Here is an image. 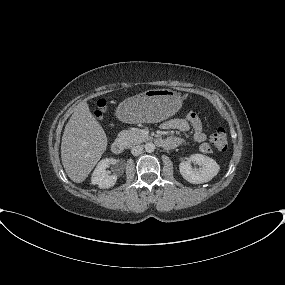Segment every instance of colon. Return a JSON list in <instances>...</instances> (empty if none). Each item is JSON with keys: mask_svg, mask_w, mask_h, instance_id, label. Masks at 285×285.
I'll return each instance as SVG.
<instances>
[{"mask_svg": "<svg viewBox=\"0 0 285 285\" xmlns=\"http://www.w3.org/2000/svg\"><path fill=\"white\" fill-rule=\"evenodd\" d=\"M102 112H103V106H99V113L102 114ZM210 142L219 151H225L228 145L227 134L225 129L219 127L216 130H214L210 134ZM200 149L204 153H209L211 151V147L208 144L202 145Z\"/></svg>", "mask_w": 285, "mask_h": 285, "instance_id": "colon-1", "label": "colon"}]
</instances>
